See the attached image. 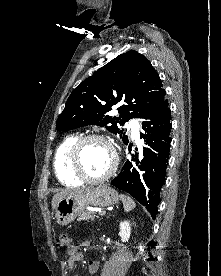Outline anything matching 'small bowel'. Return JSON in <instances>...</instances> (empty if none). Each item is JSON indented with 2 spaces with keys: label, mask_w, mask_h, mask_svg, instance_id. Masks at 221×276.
<instances>
[{
  "label": "small bowel",
  "mask_w": 221,
  "mask_h": 276,
  "mask_svg": "<svg viewBox=\"0 0 221 276\" xmlns=\"http://www.w3.org/2000/svg\"><path fill=\"white\" fill-rule=\"evenodd\" d=\"M81 247H88L89 242L85 241L82 242ZM84 258L83 253L80 251V248L78 246H72L71 248L67 249V258L66 263L70 269H73L75 264L78 261H82ZM88 263V270L91 275H94L98 268H99V262L97 260L89 259L87 261Z\"/></svg>",
  "instance_id": "c3829d8e"
}]
</instances>
